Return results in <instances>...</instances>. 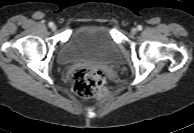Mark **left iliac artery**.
I'll use <instances>...</instances> for the list:
<instances>
[{
  "mask_svg": "<svg viewBox=\"0 0 194 133\" xmlns=\"http://www.w3.org/2000/svg\"><path fill=\"white\" fill-rule=\"evenodd\" d=\"M137 29L140 31L142 30V26L141 25H138Z\"/></svg>",
  "mask_w": 194,
  "mask_h": 133,
  "instance_id": "44dca946",
  "label": "left iliac artery"
}]
</instances>
